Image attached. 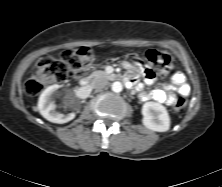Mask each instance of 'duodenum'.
<instances>
[{
    "label": "duodenum",
    "instance_id": "obj_1",
    "mask_svg": "<svg viewBox=\"0 0 222 187\" xmlns=\"http://www.w3.org/2000/svg\"><path fill=\"white\" fill-rule=\"evenodd\" d=\"M123 80L130 86L133 85V81L130 77L125 76L123 78ZM90 92V84L88 82V80H82L81 84H80V88H79V94L80 95H87Z\"/></svg>",
    "mask_w": 222,
    "mask_h": 187
}]
</instances>
